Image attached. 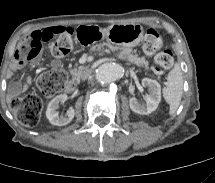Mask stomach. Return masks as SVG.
Here are the masks:
<instances>
[{"instance_id":"1","label":"stomach","mask_w":215,"mask_h":183,"mask_svg":"<svg viewBox=\"0 0 215 183\" xmlns=\"http://www.w3.org/2000/svg\"><path fill=\"white\" fill-rule=\"evenodd\" d=\"M99 37L117 47H135L143 38L144 30L139 24H113L99 29Z\"/></svg>"}]
</instances>
